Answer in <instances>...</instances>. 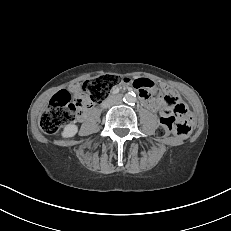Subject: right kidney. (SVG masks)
I'll return each mask as SVG.
<instances>
[{"label": "right kidney", "instance_id": "right-kidney-1", "mask_svg": "<svg viewBox=\"0 0 231 231\" xmlns=\"http://www.w3.org/2000/svg\"><path fill=\"white\" fill-rule=\"evenodd\" d=\"M77 132H78V127L76 125L68 124L64 127L62 136L66 138L73 137Z\"/></svg>", "mask_w": 231, "mask_h": 231}]
</instances>
